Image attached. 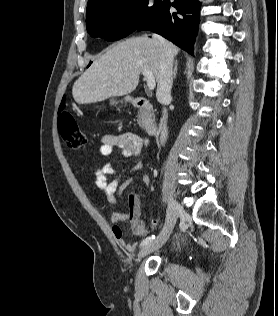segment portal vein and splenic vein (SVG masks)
Instances as JSON below:
<instances>
[{
	"label": "portal vein and splenic vein",
	"instance_id": "obj_1",
	"mask_svg": "<svg viewBox=\"0 0 278 316\" xmlns=\"http://www.w3.org/2000/svg\"><path fill=\"white\" fill-rule=\"evenodd\" d=\"M142 73L146 78L147 86H148L149 90H153L155 88V85H156L155 77H154L153 73L150 70H143Z\"/></svg>",
	"mask_w": 278,
	"mask_h": 316
}]
</instances>
